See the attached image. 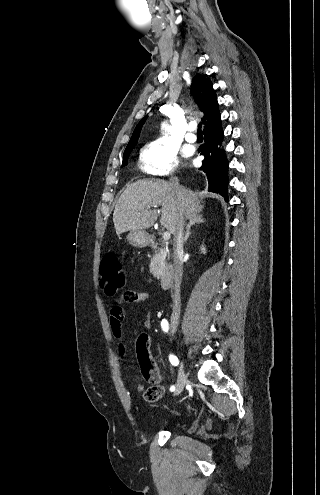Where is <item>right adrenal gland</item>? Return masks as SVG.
Returning a JSON list of instances; mask_svg holds the SVG:
<instances>
[{
  "label": "right adrenal gland",
  "mask_w": 320,
  "mask_h": 495,
  "mask_svg": "<svg viewBox=\"0 0 320 495\" xmlns=\"http://www.w3.org/2000/svg\"><path fill=\"white\" fill-rule=\"evenodd\" d=\"M188 219H189V223L186 226V234H185L184 240H183L184 243H186L188 238H189L190 230H191L192 226L195 225L196 223L199 224V223H203L205 221L204 218L202 217L201 211L195 213L193 216L189 217Z\"/></svg>",
  "instance_id": "1"
}]
</instances>
